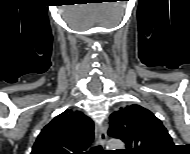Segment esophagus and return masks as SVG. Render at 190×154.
I'll return each instance as SVG.
<instances>
[{"instance_id": "obj_1", "label": "esophagus", "mask_w": 190, "mask_h": 154, "mask_svg": "<svg viewBox=\"0 0 190 154\" xmlns=\"http://www.w3.org/2000/svg\"><path fill=\"white\" fill-rule=\"evenodd\" d=\"M107 141V131L104 126L96 125L95 127V144L105 146Z\"/></svg>"}]
</instances>
